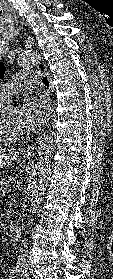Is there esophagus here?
<instances>
[{
	"mask_svg": "<svg viewBox=\"0 0 113 279\" xmlns=\"http://www.w3.org/2000/svg\"><path fill=\"white\" fill-rule=\"evenodd\" d=\"M37 69L40 73L45 74L48 78L49 81V88L52 90V79L51 76L47 70V66L44 62H39L37 65ZM52 113V112H51ZM49 125V123H47ZM35 145L30 146L26 151H25V155L27 156H31L35 150Z\"/></svg>",
	"mask_w": 113,
	"mask_h": 279,
	"instance_id": "34e87169",
	"label": "esophagus"
}]
</instances>
